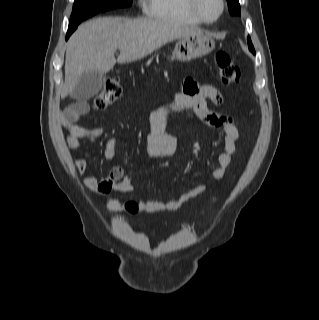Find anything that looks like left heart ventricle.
I'll return each instance as SVG.
<instances>
[{"mask_svg": "<svg viewBox=\"0 0 319 320\" xmlns=\"http://www.w3.org/2000/svg\"><path fill=\"white\" fill-rule=\"evenodd\" d=\"M199 9L208 19L215 18L220 10L219 0H199Z\"/></svg>", "mask_w": 319, "mask_h": 320, "instance_id": "b2bd125f", "label": "left heart ventricle"}]
</instances>
